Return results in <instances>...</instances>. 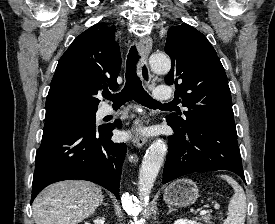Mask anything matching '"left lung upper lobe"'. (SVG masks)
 Segmentation results:
<instances>
[{
    "instance_id": "obj_1",
    "label": "left lung upper lobe",
    "mask_w": 275,
    "mask_h": 224,
    "mask_svg": "<svg viewBox=\"0 0 275 224\" xmlns=\"http://www.w3.org/2000/svg\"><path fill=\"white\" fill-rule=\"evenodd\" d=\"M165 52L172 62L165 82L176 85L178 102L188 108L167 121L182 129L197 123L236 129L227 76L207 38L185 23L170 27Z\"/></svg>"
}]
</instances>
